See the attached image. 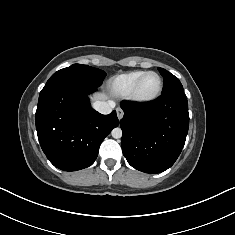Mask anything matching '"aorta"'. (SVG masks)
I'll list each match as a JSON object with an SVG mask.
<instances>
[{"instance_id": "762f6f07", "label": "aorta", "mask_w": 235, "mask_h": 235, "mask_svg": "<svg viewBox=\"0 0 235 235\" xmlns=\"http://www.w3.org/2000/svg\"><path fill=\"white\" fill-rule=\"evenodd\" d=\"M111 134H112V137L115 139L121 138L122 137V130L119 127L114 128L112 130Z\"/></svg>"}]
</instances>
